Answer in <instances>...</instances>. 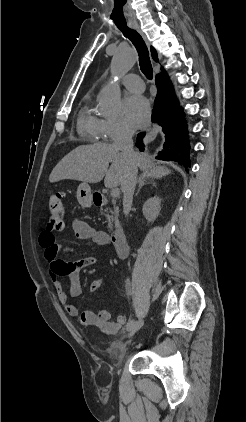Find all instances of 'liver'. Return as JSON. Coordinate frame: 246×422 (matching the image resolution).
I'll use <instances>...</instances> for the list:
<instances>
[{
	"instance_id": "liver-1",
	"label": "liver",
	"mask_w": 246,
	"mask_h": 422,
	"mask_svg": "<svg viewBox=\"0 0 246 422\" xmlns=\"http://www.w3.org/2000/svg\"><path fill=\"white\" fill-rule=\"evenodd\" d=\"M136 154V166L143 171L142 176L162 178L170 173L168 168L155 165L150 156ZM127 170L126 157L118 148L108 143H95L79 146L67 154L52 170L49 181L53 183L71 179L98 183L105 177V186L111 188L122 186Z\"/></svg>"
}]
</instances>
